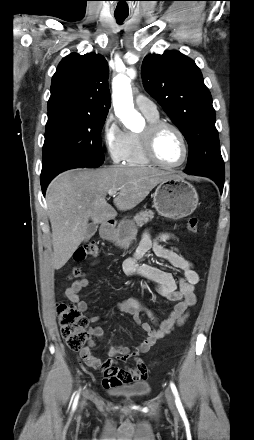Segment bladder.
<instances>
[{
  "label": "bladder",
  "mask_w": 254,
  "mask_h": 440,
  "mask_svg": "<svg viewBox=\"0 0 254 440\" xmlns=\"http://www.w3.org/2000/svg\"><path fill=\"white\" fill-rule=\"evenodd\" d=\"M151 387L147 382H140L125 388L113 391L117 396L123 398H144L150 393Z\"/></svg>",
  "instance_id": "bladder-1"
}]
</instances>
